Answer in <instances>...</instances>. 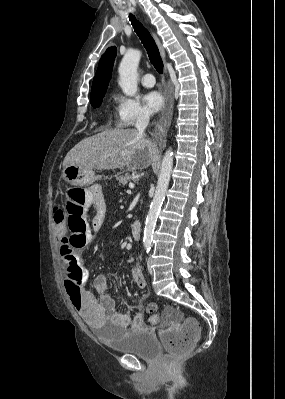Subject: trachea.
<instances>
[{"mask_svg":"<svg viewBox=\"0 0 285 399\" xmlns=\"http://www.w3.org/2000/svg\"><path fill=\"white\" fill-rule=\"evenodd\" d=\"M129 18H130L131 24H132L136 34L140 38L142 44L144 45V47L147 51V54L149 56L151 63L153 64L155 69L160 74H162L163 73V62L160 57V53H159L158 47H157L154 39L150 35L149 31L135 18L134 15L131 14L129 16Z\"/></svg>","mask_w":285,"mask_h":399,"instance_id":"obj_1","label":"trachea"}]
</instances>
